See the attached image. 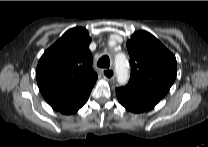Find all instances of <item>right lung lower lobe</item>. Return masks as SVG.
<instances>
[{"label": "right lung lower lobe", "mask_w": 208, "mask_h": 147, "mask_svg": "<svg viewBox=\"0 0 208 147\" xmlns=\"http://www.w3.org/2000/svg\"><path fill=\"white\" fill-rule=\"evenodd\" d=\"M86 101H87V99L84 102H82L79 105H77L76 107H73L71 109L64 110L61 113H63V114H73L76 111H78L86 103Z\"/></svg>", "instance_id": "right-lung-lower-lobe-1"}]
</instances>
